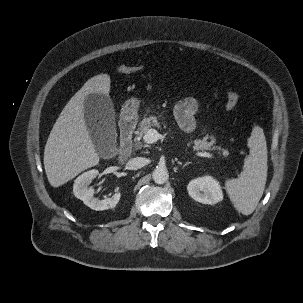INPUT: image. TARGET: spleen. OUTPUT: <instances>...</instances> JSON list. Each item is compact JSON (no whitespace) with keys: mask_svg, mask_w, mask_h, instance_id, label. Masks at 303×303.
<instances>
[{"mask_svg":"<svg viewBox=\"0 0 303 303\" xmlns=\"http://www.w3.org/2000/svg\"><path fill=\"white\" fill-rule=\"evenodd\" d=\"M249 155L238 178L225 181V190L236 210L250 215L256 209L267 180V144L264 131L254 126L247 142Z\"/></svg>","mask_w":303,"mask_h":303,"instance_id":"1","label":"spleen"}]
</instances>
